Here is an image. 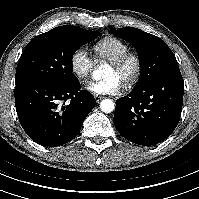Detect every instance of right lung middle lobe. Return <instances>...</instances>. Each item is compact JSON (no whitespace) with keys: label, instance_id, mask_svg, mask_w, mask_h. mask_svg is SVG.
Returning <instances> with one entry per match:
<instances>
[{"label":"right lung middle lobe","instance_id":"dd1d6c3e","mask_svg":"<svg viewBox=\"0 0 199 199\" xmlns=\"http://www.w3.org/2000/svg\"><path fill=\"white\" fill-rule=\"evenodd\" d=\"M99 34L64 25L34 37L18 62L15 85L38 81L61 85L76 81L77 77L72 73L73 55Z\"/></svg>","mask_w":199,"mask_h":199}]
</instances>
